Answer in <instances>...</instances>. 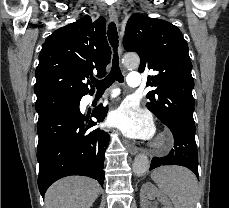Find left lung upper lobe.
Wrapping results in <instances>:
<instances>
[{
	"label": "left lung upper lobe",
	"mask_w": 229,
	"mask_h": 208,
	"mask_svg": "<svg viewBox=\"0 0 229 208\" xmlns=\"http://www.w3.org/2000/svg\"><path fill=\"white\" fill-rule=\"evenodd\" d=\"M123 46L140 56L139 72L155 71L147 79L146 85L154 87L146 95L150 100L147 108L164 124H185L195 129L192 63L181 31L167 21L132 14Z\"/></svg>",
	"instance_id": "5c2ea615"
}]
</instances>
